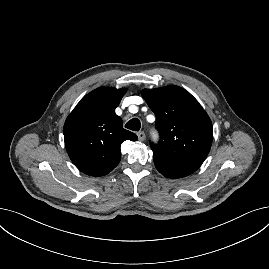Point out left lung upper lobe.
Segmentation results:
<instances>
[{
  "mask_svg": "<svg viewBox=\"0 0 269 269\" xmlns=\"http://www.w3.org/2000/svg\"><path fill=\"white\" fill-rule=\"evenodd\" d=\"M142 97L156 115L159 144L155 156L166 160L202 163L211 148L212 123L198 101L178 86L144 89Z\"/></svg>",
  "mask_w": 269,
  "mask_h": 269,
  "instance_id": "1",
  "label": "left lung upper lobe"
}]
</instances>
